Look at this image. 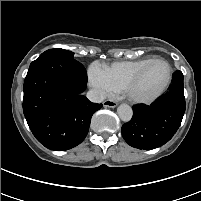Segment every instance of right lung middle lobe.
Instances as JSON below:
<instances>
[{"label": "right lung middle lobe", "mask_w": 201, "mask_h": 201, "mask_svg": "<svg viewBox=\"0 0 201 201\" xmlns=\"http://www.w3.org/2000/svg\"><path fill=\"white\" fill-rule=\"evenodd\" d=\"M50 55L60 56L66 59H73L74 53L64 49H50L42 53L40 57L50 56Z\"/></svg>", "instance_id": "dd1d6c3e"}]
</instances>
